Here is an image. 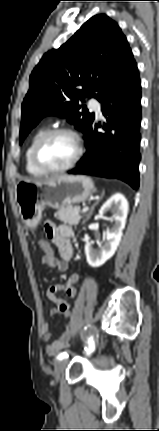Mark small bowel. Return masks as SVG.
<instances>
[{"label": "small bowel", "instance_id": "obj_1", "mask_svg": "<svg viewBox=\"0 0 159 431\" xmlns=\"http://www.w3.org/2000/svg\"><path fill=\"white\" fill-rule=\"evenodd\" d=\"M45 233L48 239L53 243L59 257H56L54 253L51 258H47L43 253L41 259L42 265L55 268L59 272H65L68 269V262L72 257V247L68 240L73 236L72 228L68 225H55L53 222L48 221L45 224ZM78 280L79 275L73 273L67 278L64 284H52L48 286L46 290V296L54 304V306L49 311L51 316L57 314L64 315L65 310L70 312L69 303L65 299L59 297V293L65 292L67 297L74 298L77 294L75 284L78 282ZM42 330L43 339L45 341H49L51 338L49 324L44 323ZM69 339L70 333L65 331L56 341L46 345V354L48 356H56L68 346Z\"/></svg>", "mask_w": 159, "mask_h": 431}]
</instances>
